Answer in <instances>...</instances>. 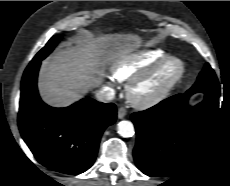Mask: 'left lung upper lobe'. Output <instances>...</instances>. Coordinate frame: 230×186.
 Segmentation results:
<instances>
[{
	"mask_svg": "<svg viewBox=\"0 0 230 186\" xmlns=\"http://www.w3.org/2000/svg\"><path fill=\"white\" fill-rule=\"evenodd\" d=\"M206 87H219L217 77L208 63L198 76L196 83L189 90H197Z\"/></svg>",
	"mask_w": 230,
	"mask_h": 186,
	"instance_id": "left-lung-upper-lobe-1",
	"label": "left lung upper lobe"
}]
</instances>
